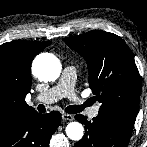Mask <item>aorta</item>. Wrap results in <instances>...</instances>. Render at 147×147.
Segmentation results:
<instances>
[{"mask_svg":"<svg viewBox=\"0 0 147 147\" xmlns=\"http://www.w3.org/2000/svg\"><path fill=\"white\" fill-rule=\"evenodd\" d=\"M61 72V63L57 57L50 53L38 55L32 64V73L40 81L56 80ZM66 135L74 141H79L84 135V128L79 122H71L66 127Z\"/></svg>","mask_w":147,"mask_h":147,"instance_id":"762f6f07","label":"aorta"}]
</instances>
